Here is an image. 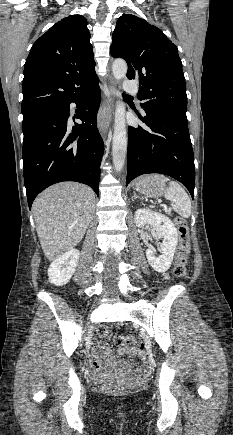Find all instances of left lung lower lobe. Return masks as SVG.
<instances>
[{
  "instance_id": "left-lung-lower-lobe-1",
  "label": "left lung lower lobe",
  "mask_w": 233,
  "mask_h": 435,
  "mask_svg": "<svg viewBox=\"0 0 233 435\" xmlns=\"http://www.w3.org/2000/svg\"><path fill=\"white\" fill-rule=\"evenodd\" d=\"M139 118L146 130L129 127L127 149V180L149 173L173 177L194 195L195 165L187 117L147 110Z\"/></svg>"
}]
</instances>
